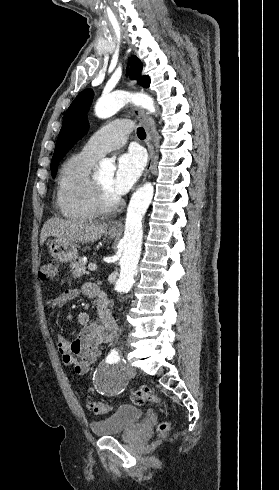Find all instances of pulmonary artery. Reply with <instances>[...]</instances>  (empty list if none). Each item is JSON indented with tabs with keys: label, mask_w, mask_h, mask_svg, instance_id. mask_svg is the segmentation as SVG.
Listing matches in <instances>:
<instances>
[{
	"label": "pulmonary artery",
	"mask_w": 279,
	"mask_h": 490,
	"mask_svg": "<svg viewBox=\"0 0 279 490\" xmlns=\"http://www.w3.org/2000/svg\"><path fill=\"white\" fill-rule=\"evenodd\" d=\"M128 123L127 117H114L113 122L104 125L89 137L81 153L90 159L97 160L109 151L120 148L127 140Z\"/></svg>",
	"instance_id": "pulmonary-artery-1"
}]
</instances>
